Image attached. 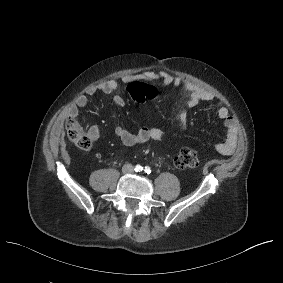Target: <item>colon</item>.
Instances as JSON below:
<instances>
[{"label":"colon","mask_w":283,"mask_h":283,"mask_svg":"<svg viewBox=\"0 0 283 283\" xmlns=\"http://www.w3.org/2000/svg\"><path fill=\"white\" fill-rule=\"evenodd\" d=\"M129 95L136 102H145L157 96L155 87L143 82H134L128 86ZM66 129L71 141L80 149L90 150L93 146L92 140L86 133L77 118L69 116L66 121ZM174 163L177 168L189 170L198 167L199 159L194 149L183 148L175 157Z\"/></svg>","instance_id":"obj_1"}]
</instances>
